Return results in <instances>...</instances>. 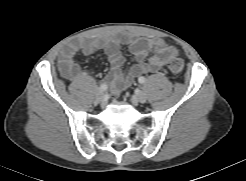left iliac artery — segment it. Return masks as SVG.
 <instances>
[{
	"instance_id": "44dca946",
	"label": "left iliac artery",
	"mask_w": 246,
	"mask_h": 181,
	"mask_svg": "<svg viewBox=\"0 0 246 181\" xmlns=\"http://www.w3.org/2000/svg\"><path fill=\"white\" fill-rule=\"evenodd\" d=\"M139 83L144 84L146 82V78L144 76H140L138 78Z\"/></svg>"
}]
</instances>
